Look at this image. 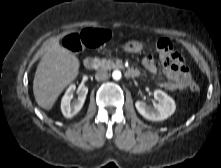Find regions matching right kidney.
<instances>
[{"mask_svg": "<svg viewBox=\"0 0 221 168\" xmlns=\"http://www.w3.org/2000/svg\"><path fill=\"white\" fill-rule=\"evenodd\" d=\"M75 89V85H70L62 98L61 110L66 118H72L81 110L88 93L87 87H79L76 91L78 98L72 100Z\"/></svg>", "mask_w": 221, "mask_h": 168, "instance_id": "ca27d5eb", "label": "right kidney"}]
</instances>
